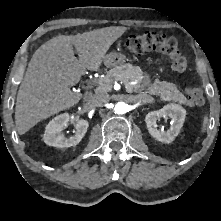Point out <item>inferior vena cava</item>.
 Masks as SVG:
<instances>
[{"label": "inferior vena cava", "instance_id": "inferior-vena-cava-1", "mask_svg": "<svg viewBox=\"0 0 221 221\" xmlns=\"http://www.w3.org/2000/svg\"><path fill=\"white\" fill-rule=\"evenodd\" d=\"M110 101V97L107 93H98L93 95L89 103L91 106L96 107V106H102Z\"/></svg>", "mask_w": 221, "mask_h": 221}]
</instances>
